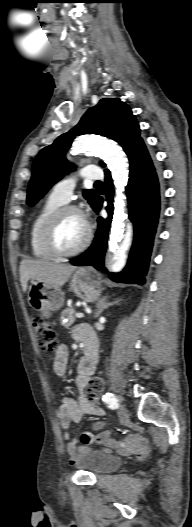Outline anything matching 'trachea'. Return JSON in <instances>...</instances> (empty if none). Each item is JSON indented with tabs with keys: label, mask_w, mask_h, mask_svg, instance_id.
<instances>
[{
	"label": "trachea",
	"mask_w": 192,
	"mask_h": 527,
	"mask_svg": "<svg viewBox=\"0 0 192 527\" xmlns=\"http://www.w3.org/2000/svg\"><path fill=\"white\" fill-rule=\"evenodd\" d=\"M102 185H103V183L101 181H96L95 182V186H102Z\"/></svg>",
	"instance_id": "1"
}]
</instances>
